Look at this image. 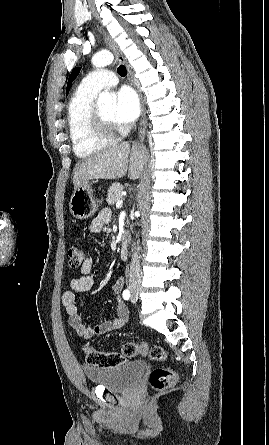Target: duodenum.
<instances>
[{"label":"duodenum","mask_w":269,"mask_h":445,"mask_svg":"<svg viewBox=\"0 0 269 445\" xmlns=\"http://www.w3.org/2000/svg\"><path fill=\"white\" fill-rule=\"evenodd\" d=\"M119 252H120V257L122 259H126L127 258V256H128V246H127V242L126 241H123L121 243Z\"/></svg>","instance_id":"410a0bca"}]
</instances>
